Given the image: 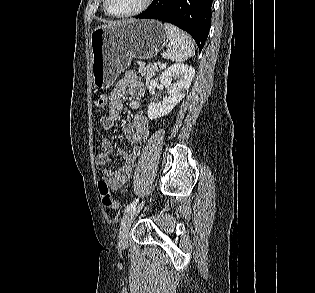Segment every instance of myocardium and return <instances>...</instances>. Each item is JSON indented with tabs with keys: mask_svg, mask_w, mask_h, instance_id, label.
<instances>
[{
	"mask_svg": "<svg viewBox=\"0 0 315 293\" xmlns=\"http://www.w3.org/2000/svg\"><path fill=\"white\" fill-rule=\"evenodd\" d=\"M152 2H153V0H144L143 4L138 9L131 11V12H128V13H125V14H116V13L111 11V9L109 7V0H103L104 9H105L106 13L109 16L116 17V18H127V17L139 15V14L143 13L144 11H146L150 7Z\"/></svg>",
	"mask_w": 315,
	"mask_h": 293,
	"instance_id": "obj_1",
	"label": "myocardium"
}]
</instances>
